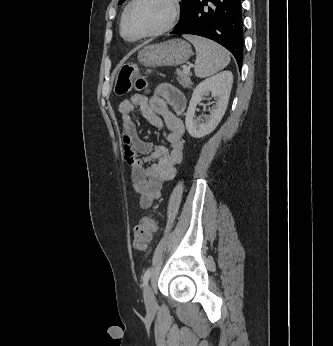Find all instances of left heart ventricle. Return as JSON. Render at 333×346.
<instances>
[{
	"instance_id": "obj_1",
	"label": "left heart ventricle",
	"mask_w": 333,
	"mask_h": 346,
	"mask_svg": "<svg viewBox=\"0 0 333 346\" xmlns=\"http://www.w3.org/2000/svg\"><path fill=\"white\" fill-rule=\"evenodd\" d=\"M171 7L167 0H139L126 20V31L139 35L157 31L170 20Z\"/></svg>"
}]
</instances>
